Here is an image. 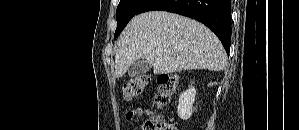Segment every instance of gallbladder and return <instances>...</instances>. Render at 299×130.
<instances>
[{
	"label": "gallbladder",
	"mask_w": 299,
	"mask_h": 130,
	"mask_svg": "<svg viewBox=\"0 0 299 130\" xmlns=\"http://www.w3.org/2000/svg\"><path fill=\"white\" fill-rule=\"evenodd\" d=\"M152 68L149 61L140 59L135 61L128 69V75L135 77L148 72Z\"/></svg>",
	"instance_id": "bac80fb5"
}]
</instances>
